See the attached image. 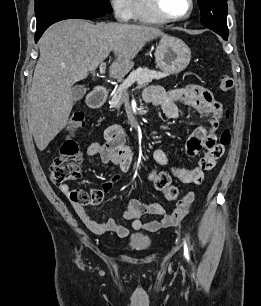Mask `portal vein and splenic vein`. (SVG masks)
<instances>
[{"instance_id":"portal-vein-and-splenic-vein-1","label":"portal vein and splenic vein","mask_w":261,"mask_h":306,"mask_svg":"<svg viewBox=\"0 0 261 306\" xmlns=\"http://www.w3.org/2000/svg\"><path fill=\"white\" fill-rule=\"evenodd\" d=\"M105 69H106L105 63H100L99 72H100L101 75H103L105 73Z\"/></svg>"}]
</instances>
